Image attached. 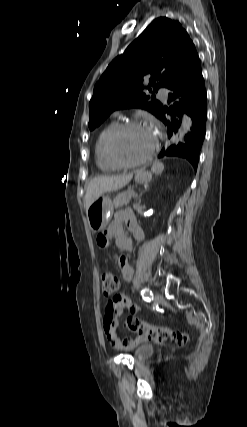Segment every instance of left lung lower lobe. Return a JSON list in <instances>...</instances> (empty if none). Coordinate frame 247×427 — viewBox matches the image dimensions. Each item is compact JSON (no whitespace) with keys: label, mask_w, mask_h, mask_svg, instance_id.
Instances as JSON below:
<instances>
[{"label":"left lung lower lobe","mask_w":247,"mask_h":427,"mask_svg":"<svg viewBox=\"0 0 247 427\" xmlns=\"http://www.w3.org/2000/svg\"><path fill=\"white\" fill-rule=\"evenodd\" d=\"M169 89L171 93L169 94L168 102L171 103V106L169 109L163 107L158 117L167 125L168 138L170 139L177 133L182 122V110L187 111L193 121V125L191 132L185 136L183 143H179L177 146L172 145L166 151L163 149L159 157L167 155L186 158L196 170L199 153L205 138V122L207 120V95L200 60L198 59L190 72L171 85ZM166 114L170 115L171 118L167 119Z\"/></svg>","instance_id":"1"}]
</instances>
